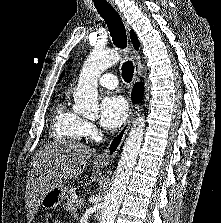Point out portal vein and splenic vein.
Segmentation results:
<instances>
[{
  "mask_svg": "<svg viewBox=\"0 0 221 223\" xmlns=\"http://www.w3.org/2000/svg\"><path fill=\"white\" fill-rule=\"evenodd\" d=\"M78 205H83V200H78Z\"/></svg>",
  "mask_w": 221,
  "mask_h": 223,
  "instance_id": "portal-vein-and-splenic-vein-1",
  "label": "portal vein and splenic vein"
}]
</instances>
